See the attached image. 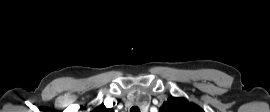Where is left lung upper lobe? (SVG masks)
Returning <instances> with one entry per match:
<instances>
[{"mask_svg":"<svg viewBox=\"0 0 270 112\" xmlns=\"http://www.w3.org/2000/svg\"><path fill=\"white\" fill-rule=\"evenodd\" d=\"M159 112H204L199 106L183 98H170L163 103Z\"/></svg>","mask_w":270,"mask_h":112,"instance_id":"left-lung-upper-lobe-1","label":"left lung upper lobe"}]
</instances>
